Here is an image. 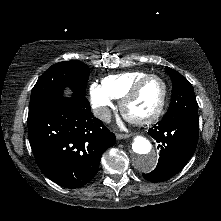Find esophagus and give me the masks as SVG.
I'll use <instances>...</instances> for the list:
<instances>
[{"label":"esophagus","instance_id":"esophagus-1","mask_svg":"<svg viewBox=\"0 0 221 221\" xmlns=\"http://www.w3.org/2000/svg\"><path fill=\"white\" fill-rule=\"evenodd\" d=\"M128 137H129L128 134H120V133L116 134V138L118 140L125 139V138H128Z\"/></svg>","mask_w":221,"mask_h":221}]
</instances>
